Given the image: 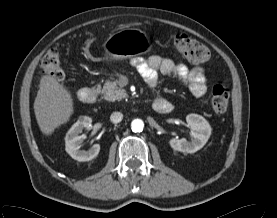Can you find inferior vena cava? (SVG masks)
<instances>
[{
	"instance_id": "inferior-vena-cava-1",
	"label": "inferior vena cava",
	"mask_w": 277,
	"mask_h": 218,
	"mask_svg": "<svg viewBox=\"0 0 277 218\" xmlns=\"http://www.w3.org/2000/svg\"><path fill=\"white\" fill-rule=\"evenodd\" d=\"M123 119V114L121 112H113L110 116V120L112 123H119Z\"/></svg>"
}]
</instances>
